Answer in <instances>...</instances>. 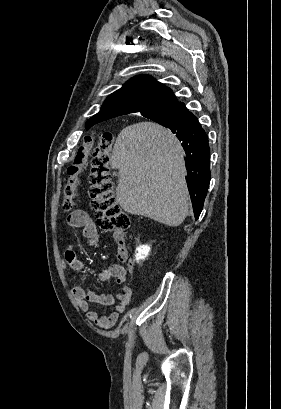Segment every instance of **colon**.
Segmentation results:
<instances>
[{
	"mask_svg": "<svg viewBox=\"0 0 281 409\" xmlns=\"http://www.w3.org/2000/svg\"><path fill=\"white\" fill-rule=\"evenodd\" d=\"M114 151V138L110 133L99 134L98 139L88 137L73 161L67 167V180L63 187L62 207L66 211L75 209L79 188L87 162L91 164V205L98 224L105 230L123 232L131 226L129 216L122 211L114 196V183L110 161ZM118 256L126 260L130 256L124 239L118 242Z\"/></svg>",
	"mask_w": 281,
	"mask_h": 409,
	"instance_id": "5ec220e1",
	"label": "colon"
}]
</instances>
